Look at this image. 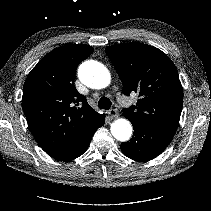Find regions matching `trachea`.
I'll use <instances>...</instances> for the list:
<instances>
[{"label": "trachea", "mask_w": 211, "mask_h": 211, "mask_svg": "<svg viewBox=\"0 0 211 211\" xmlns=\"http://www.w3.org/2000/svg\"><path fill=\"white\" fill-rule=\"evenodd\" d=\"M98 107L100 109H105V110L110 109V107H111L110 99L105 96L101 97L98 101Z\"/></svg>", "instance_id": "3493384b"}]
</instances>
